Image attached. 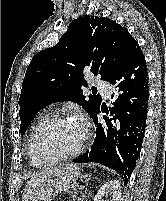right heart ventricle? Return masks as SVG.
Instances as JSON below:
<instances>
[{"label":"right heart ventricle","instance_id":"right-heart-ventricle-1","mask_svg":"<svg viewBox=\"0 0 166 201\" xmlns=\"http://www.w3.org/2000/svg\"><path fill=\"white\" fill-rule=\"evenodd\" d=\"M48 117H50V114L48 112H43V113L39 114V116L36 118V120H35V122H34V124L32 126L31 132H30L29 141H28V154H29V158H30V163L33 166H35V165H34L32 159H31V155H30L32 137H33V134H34L37 126L42 121H44L45 119H47Z\"/></svg>","mask_w":166,"mask_h":201}]
</instances>
